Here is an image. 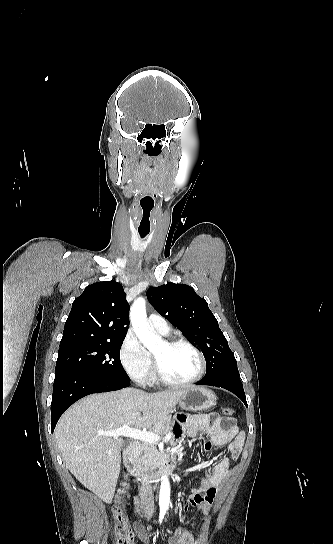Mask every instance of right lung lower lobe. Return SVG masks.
Here are the masks:
<instances>
[{
	"label": "right lung lower lobe",
	"instance_id": "obj_1",
	"mask_svg": "<svg viewBox=\"0 0 333 544\" xmlns=\"http://www.w3.org/2000/svg\"><path fill=\"white\" fill-rule=\"evenodd\" d=\"M130 386V380L117 382L107 378H96L88 373L71 369L55 371L51 402L52 432L62 413L80 398L100 392L115 391Z\"/></svg>",
	"mask_w": 333,
	"mask_h": 544
}]
</instances>
